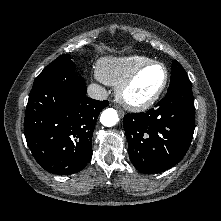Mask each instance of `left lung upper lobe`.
I'll use <instances>...</instances> for the list:
<instances>
[{"mask_svg":"<svg viewBox=\"0 0 221 221\" xmlns=\"http://www.w3.org/2000/svg\"><path fill=\"white\" fill-rule=\"evenodd\" d=\"M183 84H191L184 68L176 60L172 63V71L168 92Z\"/></svg>","mask_w":221,"mask_h":221,"instance_id":"1","label":"left lung upper lobe"}]
</instances>
